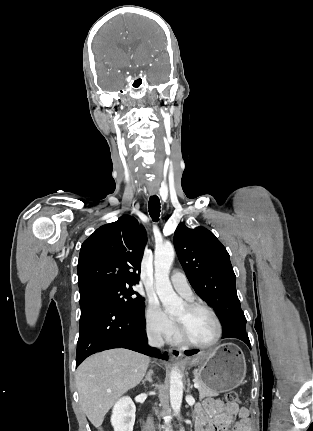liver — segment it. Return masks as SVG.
I'll list each match as a JSON object with an SVG mask.
<instances>
[{
	"label": "liver",
	"mask_w": 313,
	"mask_h": 431,
	"mask_svg": "<svg viewBox=\"0 0 313 431\" xmlns=\"http://www.w3.org/2000/svg\"><path fill=\"white\" fill-rule=\"evenodd\" d=\"M150 359L126 349H112L87 358L76 371L81 407L99 430L114 402L143 379Z\"/></svg>",
	"instance_id": "obj_1"
}]
</instances>
